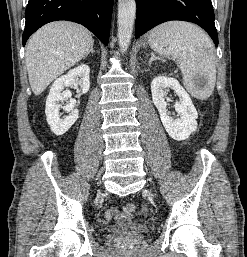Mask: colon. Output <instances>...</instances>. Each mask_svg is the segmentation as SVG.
<instances>
[{"mask_svg":"<svg viewBox=\"0 0 247 257\" xmlns=\"http://www.w3.org/2000/svg\"><path fill=\"white\" fill-rule=\"evenodd\" d=\"M136 211V206L133 203H127L124 205L121 212L115 209H108L105 212V218L107 220L119 219V220H127L133 217Z\"/></svg>","mask_w":247,"mask_h":257,"instance_id":"obj_1","label":"colon"}]
</instances>
